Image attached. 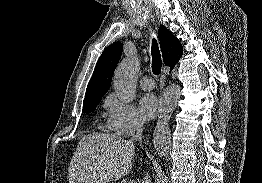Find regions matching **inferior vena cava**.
Here are the masks:
<instances>
[{
  "label": "inferior vena cava",
  "instance_id": "1",
  "mask_svg": "<svg viewBox=\"0 0 262 183\" xmlns=\"http://www.w3.org/2000/svg\"><path fill=\"white\" fill-rule=\"evenodd\" d=\"M143 126L144 122L142 120H138L136 123V135L132 137L131 141L142 139ZM142 183H151L150 176L148 174H146V177Z\"/></svg>",
  "mask_w": 262,
  "mask_h": 183
}]
</instances>
